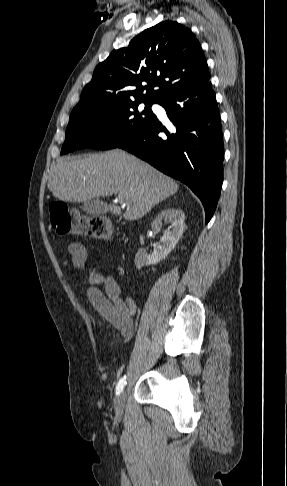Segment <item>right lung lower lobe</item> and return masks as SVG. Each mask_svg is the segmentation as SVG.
Here are the masks:
<instances>
[{
	"label": "right lung lower lobe",
	"instance_id": "98d812e1",
	"mask_svg": "<svg viewBox=\"0 0 287 486\" xmlns=\"http://www.w3.org/2000/svg\"><path fill=\"white\" fill-rule=\"evenodd\" d=\"M157 103L173 125L170 131L154 115L116 148L185 183L202 201L208 223L220 196L224 158L220 113L212 85L208 81L172 93Z\"/></svg>",
	"mask_w": 287,
	"mask_h": 486
}]
</instances>
